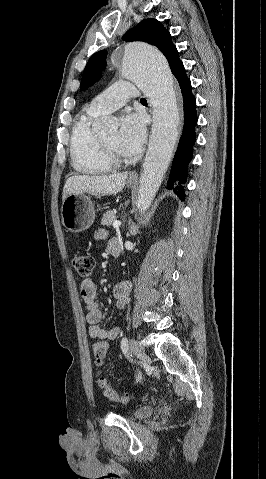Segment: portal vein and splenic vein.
I'll use <instances>...</instances> for the list:
<instances>
[{"instance_id":"1","label":"portal vein and splenic vein","mask_w":266,"mask_h":479,"mask_svg":"<svg viewBox=\"0 0 266 479\" xmlns=\"http://www.w3.org/2000/svg\"><path fill=\"white\" fill-rule=\"evenodd\" d=\"M120 225H121V222H120V221H114L113 224H112V226H113L114 228H119Z\"/></svg>"}]
</instances>
